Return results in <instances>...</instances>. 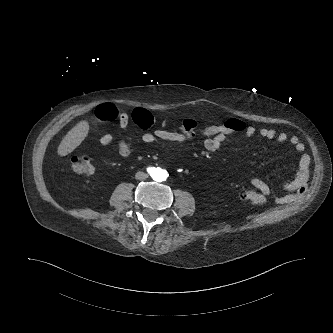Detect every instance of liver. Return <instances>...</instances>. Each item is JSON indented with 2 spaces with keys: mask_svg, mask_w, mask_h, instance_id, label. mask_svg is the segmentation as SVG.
I'll return each mask as SVG.
<instances>
[{
  "mask_svg": "<svg viewBox=\"0 0 333 333\" xmlns=\"http://www.w3.org/2000/svg\"><path fill=\"white\" fill-rule=\"evenodd\" d=\"M90 125L86 120L77 123L60 142L57 153L59 156H67L72 153L87 137Z\"/></svg>",
  "mask_w": 333,
  "mask_h": 333,
  "instance_id": "6515ba94",
  "label": "liver"
}]
</instances>
